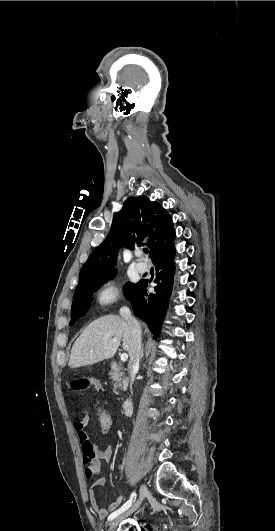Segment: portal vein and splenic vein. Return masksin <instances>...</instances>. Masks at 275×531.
<instances>
[{
    "label": "portal vein and splenic vein",
    "mask_w": 275,
    "mask_h": 531,
    "mask_svg": "<svg viewBox=\"0 0 275 531\" xmlns=\"http://www.w3.org/2000/svg\"><path fill=\"white\" fill-rule=\"evenodd\" d=\"M113 341H117V339H113ZM127 359H128L127 353H123V355H121L120 357V361H127Z\"/></svg>",
    "instance_id": "1"
}]
</instances>
